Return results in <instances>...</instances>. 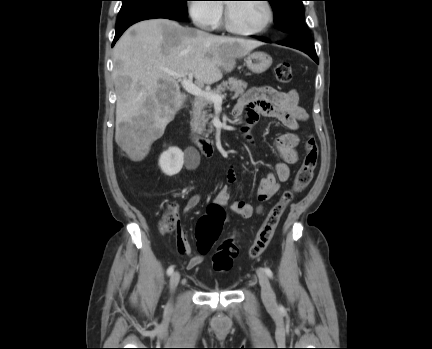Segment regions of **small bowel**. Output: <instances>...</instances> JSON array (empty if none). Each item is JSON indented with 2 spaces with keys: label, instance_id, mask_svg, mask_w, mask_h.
<instances>
[{
  "label": "small bowel",
  "instance_id": "c3829d8e",
  "mask_svg": "<svg viewBox=\"0 0 432 349\" xmlns=\"http://www.w3.org/2000/svg\"><path fill=\"white\" fill-rule=\"evenodd\" d=\"M234 113L236 116L244 115V124L240 129L241 136L249 144H253L250 128L257 122L260 116L278 120L290 132L279 135L274 141V148L280 158L273 171L261 179L257 189L259 202L268 201L280 188V184L287 181L290 176V165L299 160L297 147L299 136L294 133L301 122L308 119V114L299 105V96L295 90L279 91L270 86L253 87L246 91L238 100ZM186 168L195 169L199 164V158L195 153H187ZM227 184L224 185L215 197V204L221 207H229L242 219H249L253 214L260 213L262 206L254 208L248 202L238 199L230 202V186L236 181V174L232 167L227 170ZM200 203V195L193 194L185 205V211L195 209ZM175 214L178 209L175 207ZM178 249L180 253L189 256L187 269L196 268L203 260L200 254H193L191 246L183 231L178 229Z\"/></svg>",
  "mask_w": 432,
  "mask_h": 349
}]
</instances>
